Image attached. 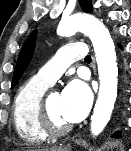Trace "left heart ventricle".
I'll list each match as a JSON object with an SVG mask.
<instances>
[{
  "mask_svg": "<svg viewBox=\"0 0 131 151\" xmlns=\"http://www.w3.org/2000/svg\"><path fill=\"white\" fill-rule=\"evenodd\" d=\"M48 107L52 119L57 125L63 126L69 124L63 116L61 94L57 92L51 93L48 99Z\"/></svg>",
  "mask_w": 131,
  "mask_h": 151,
  "instance_id": "obj_1",
  "label": "left heart ventricle"
}]
</instances>
